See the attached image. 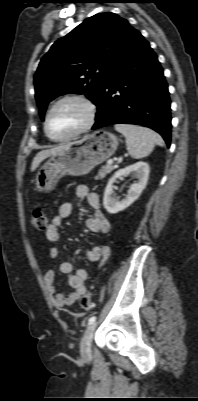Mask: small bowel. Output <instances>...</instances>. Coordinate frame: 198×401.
<instances>
[{
    "label": "small bowel",
    "instance_id": "1",
    "mask_svg": "<svg viewBox=\"0 0 198 401\" xmlns=\"http://www.w3.org/2000/svg\"><path fill=\"white\" fill-rule=\"evenodd\" d=\"M75 194L79 198H86L87 203L93 212L92 216L86 220V228L92 233L109 232L110 222L100 209V199L98 194L90 192L88 187L85 185H78L75 188ZM72 211L73 205L70 202H64L59 206L57 215L52 218L46 229V238L48 241L52 243L60 241V226L63 220L71 215ZM85 254L89 261L99 262V267H101L109 257L110 249L107 245H93L87 248ZM49 256L52 259H57L59 271L68 276L69 284L73 289L69 294L58 291L55 272L53 270L47 271L44 274L43 280L52 297L53 304L58 309L71 307L86 291L88 273L84 268L73 270L72 264L60 257V250L56 247L51 249Z\"/></svg>",
    "mask_w": 198,
    "mask_h": 401
}]
</instances>
